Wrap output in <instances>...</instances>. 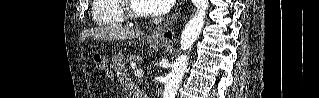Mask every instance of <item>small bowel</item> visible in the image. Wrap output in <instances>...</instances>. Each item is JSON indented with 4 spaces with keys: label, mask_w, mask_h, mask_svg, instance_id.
I'll use <instances>...</instances> for the list:
<instances>
[{
    "label": "small bowel",
    "mask_w": 319,
    "mask_h": 98,
    "mask_svg": "<svg viewBox=\"0 0 319 98\" xmlns=\"http://www.w3.org/2000/svg\"><path fill=\"white\" fill-rule=\"evenodd\" d=\"M118 80L126 88L134 90L136 87L129 81L123 70H118Z\"/></svg>",
    "instance_id": "c3829d8e"
}]
</instances>
